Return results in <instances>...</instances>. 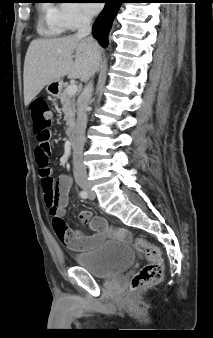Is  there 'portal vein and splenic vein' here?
Segmentation results:
<instances>
[{"label": "portal vein and splenic vein", "instance_id": "obj_1", "mask_svg": "<svg viewBox=\"0 0 213 338\" xmlns=\"http://www.w3.org/2000/svg\"><path fill=\"white\" fill-rule=\"evenodd\" d=\"M78 90V87L75 85V84H72V85H69L67 88H66V92L69 94V95H75L76 92Z\"/></svg>", "mask_w": 213, "mask_h": 338}]
</instances>
